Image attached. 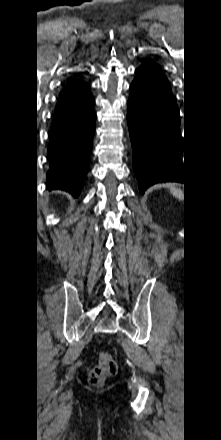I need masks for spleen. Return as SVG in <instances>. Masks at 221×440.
<instances>
[{"mask_svg": "<svg viewBox=\"0 0 221 440\" xmlns=\"http://www.w3.org/2000/svg\"><path fill=\"white\" fill-rule=\"evenodd\" d=\"M169 189H170V193H171L174 197H176V198H178V199H182V197H183V192H182L181 189L175 187V186L172 185V184H169Z\"/></svg>", "mask_w": 221, "mask_h": 440, "instance_id": "1", "label": "spleen"}]
</instances>
